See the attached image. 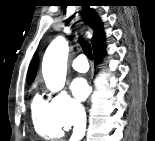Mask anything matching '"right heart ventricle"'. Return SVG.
Wrapping results in <instances>:
<instances>
[{
	"label": "right heart ventricle",
	"instance_id": "obj_1",
	"mask_svg": "<svg viewBox=\"0 0 155 141\" xmlns=\"http://www.w3.org/2000/svg\"><path fill=\"white\" fill-rule=\"evenodd\" d=\"M32 120L36 132L42 137H60L63 128L54 117L51 104L40 95H35L31 102Z\"/></svg>",
	"mask_w": 155,
	"mask_h": 141
}]
</instances>
